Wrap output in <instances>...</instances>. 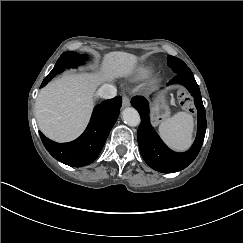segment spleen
<instances>
[{
  "label": "spleen",
  "mask_w": 243,
  "mask_h": 243,
  "mask_svg": "<svg viewBox=\"0 0 243 243\" xmlns=\"http://www.w3.org/2000/svg\"><path fill=\"white\" fill-rule=\"evenodd\" d=\"M192 127L191 116L183 111H177L161 122L159 131L172 148L184 150L192 142Z\"/></svg>",
  "instance_id": "obj_1"
}]
</instances>
